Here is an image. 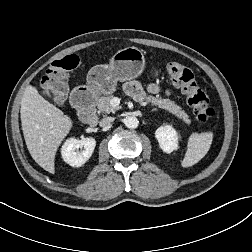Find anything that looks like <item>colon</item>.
Wrapping results in <instances>:
<instances>
[{"label": "colon", "mask_w": 252, "mask_h": 252, "mask_svg": "<svg viewBox=\"0 0 252 252\" xmlns=\"http://www.w3.org/2000/svg\"><path fill=\"white\" fill-rule=\"evenodd\" d=\"M79 64L75 54L67 55L54 61L43 77V88L46 94L56 103H61L68 93V73ZM169 78L186 96V101L192 108L197 121L206 124L214 117V111L208 104V98L198 87L191 68L172 62L167 68Z\"/></svg>", "instance_id": "1"}]
</instances>
